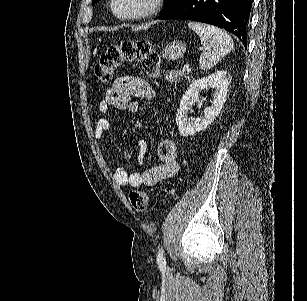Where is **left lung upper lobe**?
<instances>
[{"label": "left lung upper lobe", "mask_w": 307, "mask_h": 301, "mask_svg": "<svg viewBox=\"0 0 307 301\" xmlns=\"http://www.w3.org/2000/svg\"><path fill=\"white\" fill-rule=\"evenodd\" d=\"M99 0H93V4L97 3ZM166 1V5L164 6L162 13L165 12L166 10H168L170 7H172L173 5H175L179 0H165ZM161 13V14H162Z\"/></svg>", "instance_id": "1"}]
</instances>
